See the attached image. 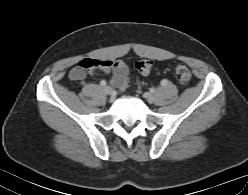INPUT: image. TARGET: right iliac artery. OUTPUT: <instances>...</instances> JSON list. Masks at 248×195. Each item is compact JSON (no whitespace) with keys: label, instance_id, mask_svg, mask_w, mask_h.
<instances>
[{"label":"right iliac artery","instance_id":"obj_1","mask_svg":"<svg viewBox=\"0 0 248 195\" xmlns=\"http://www.w3.org/2000/svg\"><path fill=\"white\" fill-rule=\"evenodd\" d=\"M100 84H101V86H105V85H106V81L102 80V81L100 82Z\"/></svg>","mask_w":248,"mask_h":195}]
</instances>
